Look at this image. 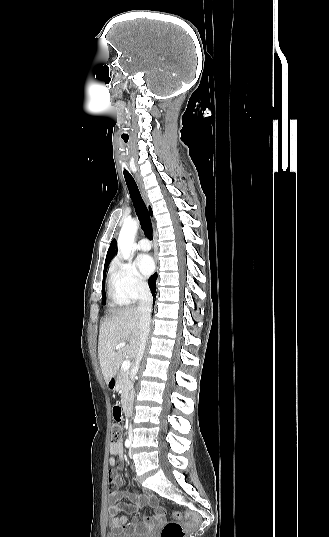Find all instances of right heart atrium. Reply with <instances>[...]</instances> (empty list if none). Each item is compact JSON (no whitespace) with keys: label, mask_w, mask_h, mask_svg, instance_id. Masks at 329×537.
Segmentation results:
<instances>
[{"label":"right heart atrium","mask_w":329,"mask_h":537,"mask_svg":"<svg viewBox=\"0 0 329 537\" xmlns=\"http://www.w3.org/2000/svg\"><path fill=\"white\" fill-rule=\"evenodd\" d=\"M110 280L126 302H134L148 292L147 282L130 262L115 261L110 270Z\"/></svg>","instance_id":"obj_1"}]
</instances>
